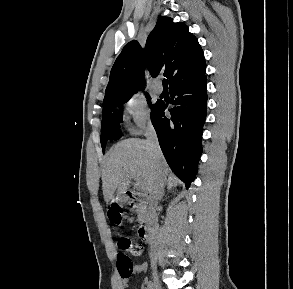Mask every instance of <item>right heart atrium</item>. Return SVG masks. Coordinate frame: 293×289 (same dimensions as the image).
Here are the masks:
<instances>
[{
  "label": "right heart atrium",
  "mask_w": 293,
  "mask_h": 289,
  "mask_svg": "<svg viewBox=\"0 0 293 289\" xmlns=\"http://www.w3.org/2000/svg\"><path fill=\"white\" fill-rule=\"evenodd\" d=\"M125 111L130 119L129 126L132 132L140 133L151 126L150 109L141 94H132L126 100Z\"/></svg>",
  "instance_id": "1"
}]
</instances>
